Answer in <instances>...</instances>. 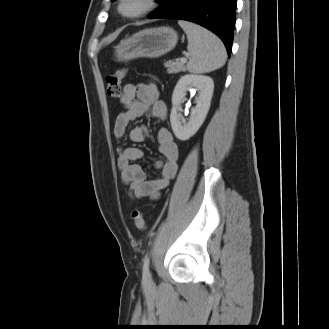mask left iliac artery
Masks as SVG:
<instances>
[{
	"mask_svg": "<svg viewBox=\"0 0 329 329\" xmlns=\"http://www.w3.org/2000/svg\"><path fill=\"white\" fill-rule=\"evenodd\" d=\"M149 262H150V259H149V255H147L144 259V264H143V274L144 276L146 277H149L150 276V272H149Z\"/></svg>",
	"mask_w": 329,
	"mask_h": 329,
	"instance_id": "obj_1",
	"label": "left iliac artery"
}]
</instances>
